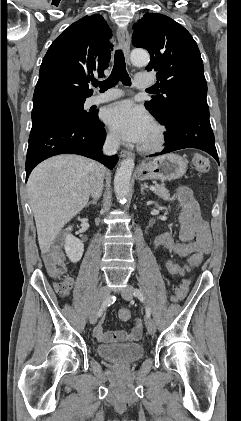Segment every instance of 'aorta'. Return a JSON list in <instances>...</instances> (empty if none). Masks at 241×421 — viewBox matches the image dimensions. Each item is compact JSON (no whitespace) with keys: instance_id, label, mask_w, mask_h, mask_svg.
Masks as SVG:
<instances>
[{"instance_id":"762f6f07","label":"aorta","mask_w":241,"mask_h":421,"mask_svg":"<svg viewBox=\"0 0 241 421\" xmlns=\"http://www.w3.org/2000/svg\"><path fill=\"white\" fill-rule=\"evenodd\" d=\"M131 61L134 65L144 66L149 63L150 56L144 49H134L130 55ZM134 159L127 158L123 160L115 174L114 178V189L117 199L120 202H125L128 196L131 175L134 168Z\"/></svg>"}]
</instances>
